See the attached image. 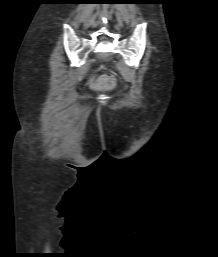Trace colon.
Here are the masks:
<instances>
[{
  "mask_svg": "<svg viewBox=\"0 0 218 257\" xmlns=\"http://www.w3.org/2000/svg\"><path fill=\"white\" fill-rule=\"evenodd\" d=\"M115 85V79L113 76H104L100 78L96 83L95 86L99 88H111Z\"/></svg>",
  "mask_w": 218,
  "mask_h": 257,
  "instance_id": "1",
  "label": "colon"
}]
</instances>
